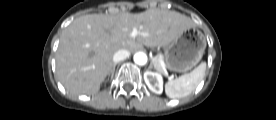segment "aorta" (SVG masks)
<instances>
[{
    "mask_svg": "<svg viewBox=\"0 0 276 120\" xmlns=\"http://www.w3.org/2000/svg\"><path fill=\"white\" fill-rule=\"evenodd\" d=\"M134 62L140 66L145 65L147 63V55L144 52L135 53Z\"/></svg>",
    "mask_w": 276,
    "mask_h": 120,
    "instance_id": "aorta-1",
    "label": "aorta"
}]
</instances>
